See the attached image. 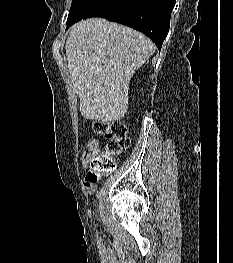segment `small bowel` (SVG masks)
Wrapping results in <instances>:
<instances>
[{
	"instance_id": "obj_1",
	"label": "small bowel",
	"mask_w": 233,
	"mask_h": 263,
	"mask_svg": "<svg viewBox=\"0 0 233 263\" xmlns=\"http://www.w3.org/2000/svg\"><path fill=\"white\" fill-rule=\"evenodd\" d=\"M100 143L95 138H89L86 142V149L87 152L82 155L81 164L83 167L88 168L90 167L92 161L97 157L100 152ZM84 186L89 193L95 191L96 183H88L84 180Z\"/></svg>"
}]
</instances>
